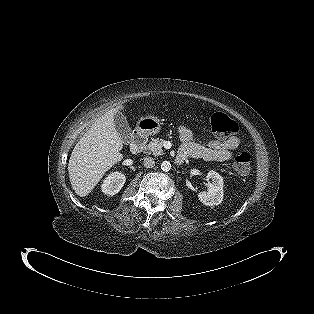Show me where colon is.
I'll return each instance as SVG.
<instances>
[{
  "mask_svg": "<svg viewBox=\"0 0 314 314\" xmlns=\"http://www.w3.org/2000/svg\"><path fill=\"white\" fill-rule=\"evenodd\" d=\"M210 126L213 133L222 136L234 134L237 123L222 112H215L210 118ZM234 168L242 176L248 175L251 171V156L243 152L234 159Z\"/></svg>",
  "mask_w": 314,
  "mask_h": 314,
  "instance_id": "1",
  "label": "colon"
}]
</instances>
